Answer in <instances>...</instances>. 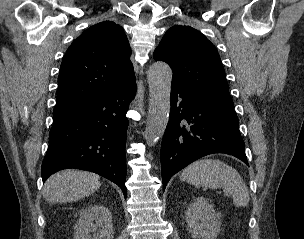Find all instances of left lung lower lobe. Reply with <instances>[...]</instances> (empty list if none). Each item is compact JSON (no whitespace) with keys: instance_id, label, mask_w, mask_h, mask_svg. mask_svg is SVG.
<instances>
[{"instance_id":"left-lung-lower-lobe-1","label":"left lung lower lobe","mask_w":304,"mask_h":239,"mask_svg":"<svg viewBox=\"0 0 304 239\" xmlns=\"http://www.w3.org/2000/svg\"><path fill=\"white\" fill-rule=\"evenodd\" d=\"M170 101L169 122L161 144L163 189L175 173L209 154H230L248 165L233 107L176 85H172Z\"/></svg>"}]
</instances>
